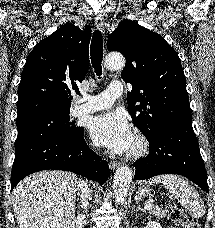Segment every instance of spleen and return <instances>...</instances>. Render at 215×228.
<instances>
[{
    "label": "spleen",
    "mask_w": 215,
    "mask_h": 228,
    "mask_svg": "<svg viewBox=\"0 0 215 228\" xmlns=\"http://www.w3.org/2000/svg\"><path fill=\"white\" fill-rule=\"evenodd\" d=\"M149 186L154 184H163L164 188L177 198L180 204L187 208L192 218H202L205 216V206L195 188L181 178V176H173V174H162V176H155L148 180Z\"/></svg>",
    "instance_id": "3e777b00"
}]
</instances>
